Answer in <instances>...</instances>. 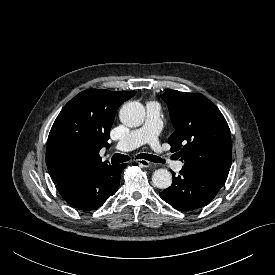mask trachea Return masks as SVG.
Segmentation results:
<instances>
[{"instance_id": "1", "label": "trachea", "mask_w": 275, "mask_h": 275, "mask_svg": "<svg viewBox=\"0 0 275 275\" xmlns=\"http://www.w3.org/2000/svg\"><path fill=\"white\" fill-rule=\"evenodd\" d=\"M136 158L137 159H146V160H149V161L154 162V163H163L164 162L161 158H159L155 155H152V154L142 153V154H138L136 156ZM129 159H130L129 156H127V155L115 154L111 158V163L112 164H119V163L126 162Z\"/></svg>"}]
</instances>
